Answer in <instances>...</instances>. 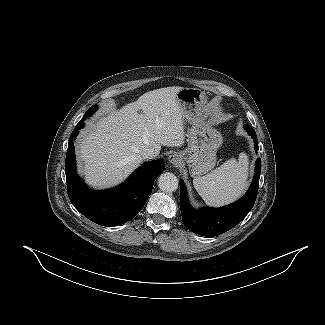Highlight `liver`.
Instances as JSON below:
<instances>
[{"label":"liver","mask_w":325,"mask_h":325,"mask_svg":"<svg viewBox=\"0 0 325 325\" xmlns=\"http://www.w3.org/2000/svg\"><path fill=\"white\" fill-rule=\"evenodd\" d=\"M179 86L152 90L137 101L91 124L82 135L78 156L86 182L107 188L123 182L143 162L141 151L185 142L184 115L177 101Z\"/></svg>","instance_id":"liver-1"}]
</instances>
